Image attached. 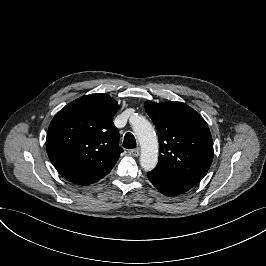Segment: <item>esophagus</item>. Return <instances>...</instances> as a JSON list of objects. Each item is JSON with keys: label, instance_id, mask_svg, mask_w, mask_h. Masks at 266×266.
Returning a JSON list of instances; mask_svg holds the SVG:
<instances>
[{"label": "esophagus", "instance_id": "obj_1", "mask_svg": "<svg viewBox=\"0 0 266 266\" xmlns=\"http://www.w3.org/2000/svg\"><path fill=\"white\" fill-rule=\"evenodd\" d=\"M129 153H130L132 156H134V157H138L139 154H140V150H139V149H132V150H130Z\"/></svg>", "mask_w": 266, "mask_h": 266}]
</instances>
